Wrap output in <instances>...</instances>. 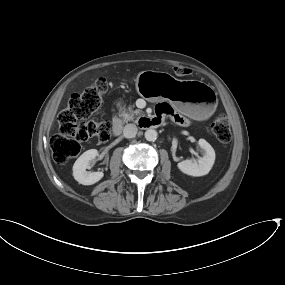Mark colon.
<instances>
[{
    "mask_svg": "<svg viewBox=\"0 0 285 285\" xmlns=\"http://www.w3.org/2000/svg\"><path fill=\"white\" fill-rule=\"evenodd\" d=\"M177 77H188L192 70L185 67L175 68ZM107 90L104 78L96 79L93 84L81 91L75 92L66 108L58 116V129L50 138V147L54 159L59 164H65L78 156L81 143L97 137L105 142L110 137V122H94L89 117L100 107L102 97ZM176 120L185 124V119L177 116ZM211 131L216 139L222 143L231 140L230 123L226 116H218L211 124Z\"/></svg>",
    "mask_w": 285,
    "mask_h": 285,
    "instance_id": "1",
    "label": "colon"
}]
</instances>
